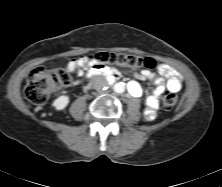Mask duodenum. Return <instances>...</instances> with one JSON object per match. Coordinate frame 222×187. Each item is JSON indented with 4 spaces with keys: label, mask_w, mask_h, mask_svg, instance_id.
<instances>
[{
    "label": "duodenum",
    "mask_w": 222,
    "mask_h": 187,
    "mask_svg": "<svg viewBox=\"0 0 222 187\" xmlns=\"http://www.w3.org/2000/svg\"><path fill=\"white\" fill-rule=\"evenodd\" d=\"M104 73L108 72L105 69H95L91 71V75L104 74ZM107 77L110 81H114L116 79L115 75L113 74H108Z\"/></svg>",
    "instance_id": "obj_1"
}]
</instances>
